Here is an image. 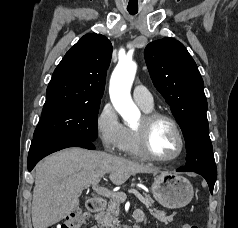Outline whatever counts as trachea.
<instances>
[{"instance_id":"trachea-1","label":"trachea","mask_w":238,"mask_h":228,"mask_svg":"<svg viewBox=\"0 0 238 228\" xmlns=\"http://www.w3.org/2000/svg\"><path fill=\"white\" fill-rule=\"evenodd\" d=\"M129 13L132 14V15H135L137 13V11H130L129 10Z\"/></svg>"}]
</instances>
